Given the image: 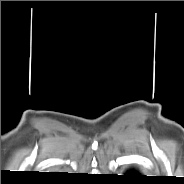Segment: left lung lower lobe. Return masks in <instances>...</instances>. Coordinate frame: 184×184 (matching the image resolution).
<instances>
[{
    "instance_id": "0a47b994",
    "label": "left lung lower lobe",
    "mask_w": 184,
    "mask_h": 184,
    "mask_svg": "<svg viewBox=\"0 0 184 184\" xmlns=\"http://www.w3.org/2000/svg\"><path fill=\"white\" fill-rule=\"evenodd\" d=\"M130 177L132 178H142L141 175H137L136 172H131V174H129Z\"/></svg>"
}]
</instances>
